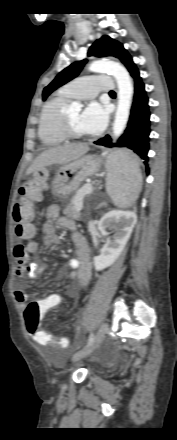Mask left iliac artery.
<instances>
[{"label":"left iliac artery","instance_id":"obj_1","mask_svg":"<svg viewBox=\"0 0 177 440\" xmlns=\"http://www.w3.org/2000/svg\"><path fill=\"white\" fill-rule=\"evenodd\" d=\"M93 340H94V335L91 333L88 339L87 346H89L93 342Z\"/></svg>","mask_w":177,"mask_h":440}]
</instances>
